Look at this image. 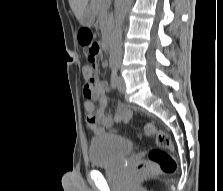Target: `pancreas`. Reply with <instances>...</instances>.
<instances>
[{"instance_id":"1","label":"pancreas","mask_w":223,"mask_h":191,"mask_svg":"<svg viewBox=\"0 0 223 191\" xmlns=\"http://www.w3.org/2000/svg\"><path fill=\"white\" fill-rule=\"evenodd\" d=\"M110 0H91L90 7L96 14L106 15Z\"/></svg>"}]
</instances>
